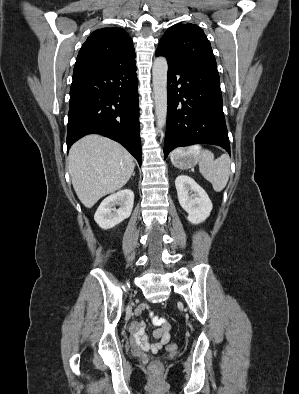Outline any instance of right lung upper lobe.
<instances>
[{"label":"right lung upper lobe","instance_id":"right-lung-upper-lobe-1","mask_svg":"<svg viewBox=\"0 0 299 394\" xmlns=\"http://www.w3.org/2000/svg\"><path fill=\"white\" fill-rule=\"evenodd\" d=\"M135 62L132 40L121 28H102L94 31L81 47L73 75L104 67Z\"/></svg>","mask_w":299,"mask_h":394}]
</instances>
